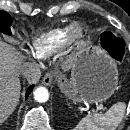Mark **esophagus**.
Returning a JSON list of instances; mask_svg holds the SVG:
<instances>
[{
  "label": "esophagus",
  "instance_id": "1",
  "mask_svg": "<svg viewBox=\"0 0 130 130\" xmlns=\"http://www.w3.org/2000/svg\"><path fill=\"white\" fill-rule=\"evenodd\" d=\"M53 77H54V73L52 72L45 74V76L43 77L42 83L45 86H50L53 82Z\"/></svg>",
  "mask_w": 130,
  "mask_h": 130
}]
</instances>
